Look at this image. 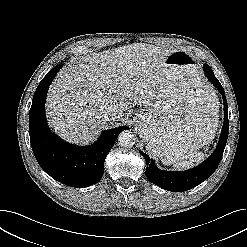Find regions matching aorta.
<instances>
[{"label":"aorta","mask_w":247,"mask_h":247,"mask_svg":"<svg viewBox=\"0 0 247 247\" xmlns=\"http://www.w3.org/2000/svg\"><path fill=\"white\" fill-rule=\"evenodd\" d=\"M118 143L123 147H132L135 144V135L129 131H122L118 135Z\"/></svg>","instance_id":"aorta-1"}]
</instances>
